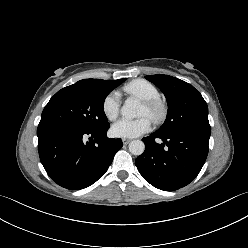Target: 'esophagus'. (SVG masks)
I'll return each instance as SVG.
<instances>
[{
	"label": "esophagus",
	"mask_w": 248,
	"mask_h": 248,
	"mask_svg": "<svg viewBox=\"0 0 248 248\" xmlns=\"http://www.w3.org/2000/svg\"><path fill=\"white\" fill-rule=\"evenodd\" d=\"M130 141H131L130 139H126V138L122 139L124 145H127Z\"/></svg>",
	"instance_id": "esophagus-1"
}]
</instances>
